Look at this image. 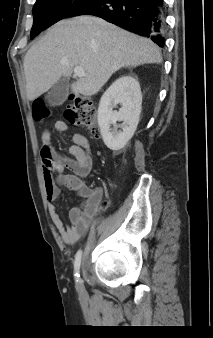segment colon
I'll use <instances>...</instances> for the list:
<instances>
[{
  "instance_id": "obj_1",
  "label": "colon",
  "mask_w": 213,
  "mask_h": 338,
  "mask_svg": "<svg viewBox=\"0 0 213 338\" xmlns=\"http://www.w3.org/2000/svg\"><path fill=\"white\" fill-rule=\"evenodd\" d=\"M32 116L37 122H43L48 118L49 108L43 99H38L33 103ZM66 119L68 122L86 129L93 138L101 136L97 124V111L87 98H72L66 108Z\"/></svg>"
}]
</instances>
